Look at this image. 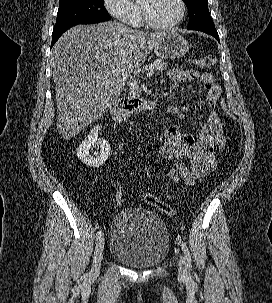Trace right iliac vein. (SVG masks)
<instances>
[{"label": "right iliac vein", "instance_id": "1", "mask_svg": "<svg viewBox=\"0 0 272 303\" xmlns=\"http://www.w3.org/2000/svg\"><path fill=\"white\" fill-rule=\"evenodd\" d=\"M103 250H104V238H100L96 244L94 255H93V263L90 272V279H95L99 275L101 261L103 259Z\"/></svg>", "mask_w": 272, "mask_h": 303}]
</instances>
